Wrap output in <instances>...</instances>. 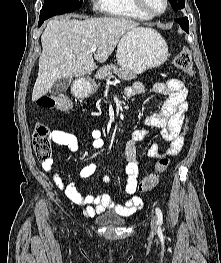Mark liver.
I'll return each mask as SVG.
<instances>
[{
    "label": "liver",
    "instance_id": "liver-1",
    "mask_svg": "<svg viewBox=\"0 0 221 263\" xmlns=\"http://www.w3.org/2000/svg\"><path fill=\"white\" fill-rule=\"evenodd\" d=\"M136 29L149 28L118 17L50 20L41 36L42 53L32 101L44 96L59 79L94 71L97 68L94 59L105 62L120 39ZM92 46H97L94 54L90 51Z\"/></svg>",
    "mask_w": 221,
    "mask_h": 263
}]
</instances>
